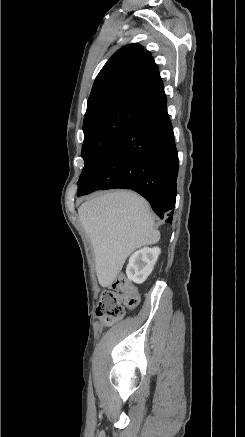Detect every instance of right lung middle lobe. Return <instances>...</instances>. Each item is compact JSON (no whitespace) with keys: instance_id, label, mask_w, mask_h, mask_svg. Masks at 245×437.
Wrapping results in <instances>:
<instances>
[{"instance_id":"1","label":"right lung middle lobe","mask_w":245,"mask_h":437,"mask_svg":"<svg viewBox=\"0 0 245 437\" xmlns=\"http://www.w3.org/2000/svg\"><path fill=\"white\" fill-rule=\"evenodd\" d=\"M140 110V108L128 103L113 102L100 105L85 114L83 121L84 142L81 152L85 165L78 185L88 177L125 125Z\"/></svg>"}]
</instances>
